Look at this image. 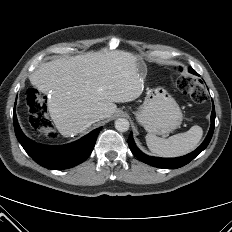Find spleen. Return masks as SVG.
Returning <instances> with one entry per match:
<instances>
[{
	"mask_svg": "<svg viewBox=\"0 0 232 232\" xmlns=\"http://www.w3.org/2000/svg\"><path fill=\"white\" fill-rule=\"evenodd\" d=\"M202 135V128L195 125L187 132L173 135L168 139L150 133L145 138L152 153L161 157H178L193 151L200 142Z\"/></svg>",
	"mask_w": 232,
	"mask_h": 232,
	"instance_id": "3e777b00",
	"label": "spleen"
}]
</instances>
